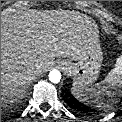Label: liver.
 <instances>
[{"label": "liver", "mask_w": 122, "mask_h": 122, "mask_svg": "<svg viewBox=\"0 0 122 122\" xmlns=\"http://www.w3.org/2000/svg\"><path fill=\"white\" fill-rule=\"evenodd\" d=\"M100 48L98 26L75 11L20 10L1 17V103L19 98L56 57Z\"/></svg>", "instance_id": "liver-1"}]
</instances>
